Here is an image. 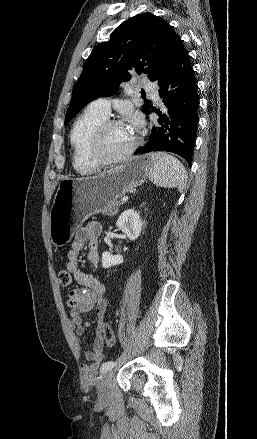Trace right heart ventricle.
Returning a JSON list of instances; mask_svg holds the SVG:
<instances>
[{
    "label": "right heart ventricle",
    "instance_id": "obj_1",
    "mask_svg": "<svg viewBox=\"0 0 257 439\" xmlns=\"http://www.w3.org/2000/svg\"><path fill=\"white\" fill-rule=\"evenodd\" d=\"M106 119V116L88 108L74 122L70 133V145L73 166L79 173L91 174L98 168L99 164L90 152V140L96 127Z\"/></svg>",
    "mask_w": 257,
    "mask_h": 439
}]
</instances>
